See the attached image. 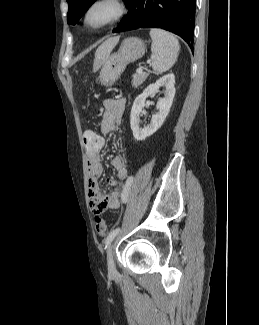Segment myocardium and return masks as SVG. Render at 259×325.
Here are the masks:
<instances>
[{
	"mask_svg": "<svg viewBox=\"0 0 259 325\" xmlns=\"http://www.w3.org/2000/svg\"><path fill=\"white\" fill-rule=\"evenodd\" d=\"M101 4H110L114 7V14L108 19L94 23L90 19V15L94 8ZM126 3L124 0H91L83 10L82 23L88 30L98 31L109 27L119 21L126 13Z\"/></svg>",
	"mask_w": 259,
	"mask_h": 325,
	"instance_id": "obj_1",
	"label": "myocardium"
}]
</instances>
